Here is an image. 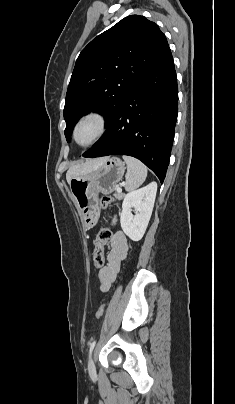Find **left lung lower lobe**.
I'll return each instance as SVG.
<instances>
[{
    "label": "left lung lower lobe",
    "mask_w": 235,
    "mask_h": 404,
    "mask_svg": "<svg viewBox=\"0 0 235 404\" xmlns=\"http://www.w3.org/2000/svg\"><path fill=\"white\" fill-rule=\"evenodd\" d=\"M177 114V78L168 47L119 106L105 134L82 156H133L149 167L163 183Z\"/></svg>",
    "instance_id": "1"
}]
</instances>
